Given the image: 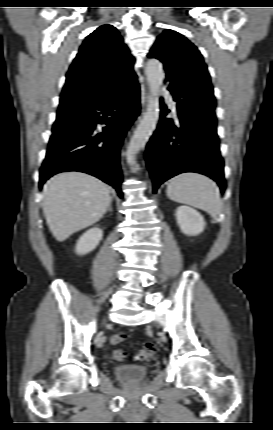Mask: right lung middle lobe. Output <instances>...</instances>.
<instances>
[{"label": "right lung middle lobe", "instance_id": "1", "mask_svg": "<svg viewBox=\"0 0 273 430\" xmlns=\"http://www.w3.org/2000/svg\"><path fill=\"white\" fill-rule=\"evenodd\" d=\"M87 114V109L81 105L73 104L59 107L57 119L52 129L53 134L80 126Z\"/></svg>", "mask_w": 273, "mask_h": 430}]
</instances>
